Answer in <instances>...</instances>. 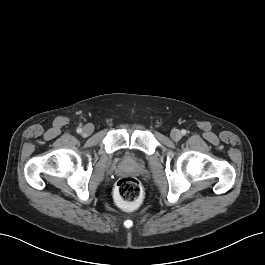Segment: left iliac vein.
Here are the masks:
<instances>
[{"mask_svg":"<svg viewBox=\"0 0 265 265\" xmlns=\"http://www.w3.org/2000/svg\"><path fill=\"white\" fill-rule=\"evenodd\" d=\"M171 138L175 141H178L181 139L182 135L181 132L178 129H173L170 134Z\"/></svg>","mask_w":265,"mask_h":265,"instance_id":"1","label":"left iliac vein"}]
</instances>
